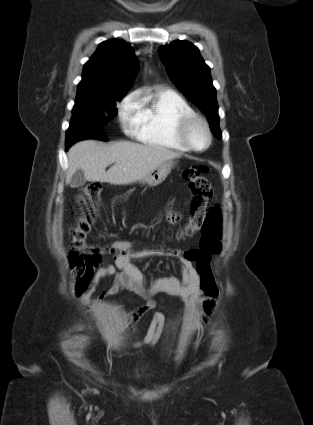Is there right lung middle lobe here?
Returning a JSON list of instances; mask_svg holds the SVG:
<instances>
[{"instance_id": "obj_1", "label": "right lung middle lobe", "mask_w": 313, "mask_h": 425, "mask_svg": "<svg viewBox=\"0 0 313 425\" xmlns=\"http://www.w3.org/2000/svg\"><path fill=\"white\" fill-rule=\"evenodd\" d=\"M125 94L117 92L103 97L76 100L70 126L76 125L80 119L92 120L99 124L106 123L117 115L115 104L120 102Z\"/></svg>"}]
</instances>
